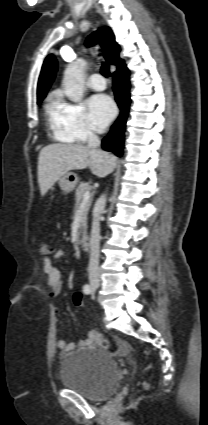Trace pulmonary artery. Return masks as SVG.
Here are the masks:
<instances>
[{
  "label": "pulmonary artery",
  "mask_w": 208,
  "mask_h": 425,
  "mask_svg": "<svg viewBox=\"0 0 208 425\" xmlns=\"http://www.w3.org/2000/svg\"><path fill=\"white\" fill-rule=\"evenodd\" d=\"M88 86L95 91H102L106 88V82L101 74L93 73L88 79Z\"/></svg>",
  "instance_id": "e3ab8cb5"
}]
</instances>
